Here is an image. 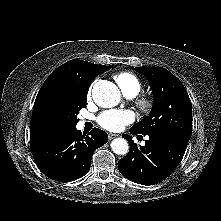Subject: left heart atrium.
I'll return each instance as SVG.
<instances>
[{
    "mask_svg": "<svg viewBox=\"0 0 221 221\" xmlns=\"http://www.w3.org/2000/svg\"><path fill=\"white\" fill-rule=\"evenodd\" d=\"M134 119L135 115L132 111L111 109L102 112L96 121L103 129L118 132L131 124Z\"/></svg>",
    "mask_w": 221,
    "mask_h": 221,
    "instance_id": "left-heart-atrium-1",
    "label": "left heart atrium"
}]
</instances>
